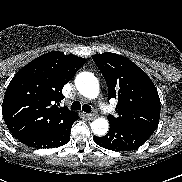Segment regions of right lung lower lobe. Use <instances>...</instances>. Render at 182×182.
Wrapping results in <instances>:
<instances>
[{"label": "right lung lower lobe", "mask_w": 182, "mask_h": 182, "mask_svg": "<svg viewBox=\"0 0 182 182\" xmlns=\"http://www.w3.org/2000/svg\"><path fill=\"white\" fill-rule=\"evenodd\" d=\"M78 118L77 115L75 118L61 123L56 127L30 135L19 141L33 148H54L65 145L70 140L71 127Z\"/></svg>", "instance_id": "98d812e1"}]
</instances>
